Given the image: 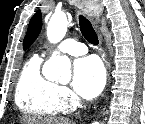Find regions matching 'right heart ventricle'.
I'll list each match as a JSON object with an SVG mask.
<instances>
[{"label": "right heart ventricle", "mask_w": 145, "mask_h": 124, "mask_svg": "<svg viewBox=\"0 0 145 124\" xmlns=\"http://www.w3.org/2000/svg\"><path fill=\"white\" fill-rule=\"evenodd\" d=\"M41 62L40 56H33L23 67L16 86V104L33 116H55L62 111L58 102L59 86L42 75Z\"/></svg>", "instance_id": "1"}]
</instances>
